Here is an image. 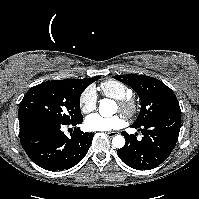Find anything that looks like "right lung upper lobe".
<instances>
[{"label":"right lung upper lobe","instance_id":"1","mask_svg":"<svg viewBox=\"0 0 199 199\" xmlns=\"http://www.w3.org/2000/svg\"><path fill=\"white\" fill-rule=\"evenodd\" d=\"M97 77H93V78H86V79H75L77 80L78 83L82 84V85H90L91 83H93L94 81H96Z\"/></svg>","mask_w":199,"mask_h":199}]
</instances>
